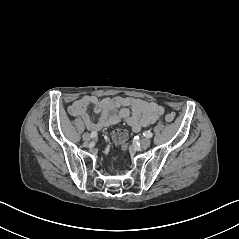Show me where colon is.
<instances>
[{"mask_svg":"<svg viewBox=\"0 0 239 239\" xmlns=\"http://www.w3.org/2000/svg\"><path fill=\"white\" fill-rule=\"evenodd\" d=\"M174 119L175 114L173 112L167 113L165 115L166 122H172ZM112 138L116 144L124 147L127 142V133L122 129H117L113 132Z\"/></svg>","mask_w":239,"mask_h":239,"instance_id":"1","label":"colon"}]
</instances>
